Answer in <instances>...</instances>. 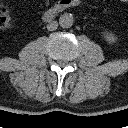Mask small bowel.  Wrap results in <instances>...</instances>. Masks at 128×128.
<instances>
[{
    "label": "small bowel",
    "mask_w": 128,
    "mask_h": 128,
    "mask_svg": "<svg viewBox=\"0 0 128 128\" xmlns=\"http://www.w3.org/2000/svg\"><path fill=\"white\" fill-rule=\"evenodd\" d=\"M119 1H121V2H128V0H119Z\"/></svg>",
    "instance_id": "small-bowel-1"
}]
</instances>
